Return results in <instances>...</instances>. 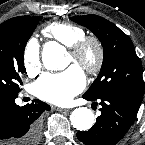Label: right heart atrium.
Instances as JSON below:
<instances>
[{
    "instance_id": "d8ad5b80",
    "label": "right heart atrium",
    "mask_w": 145,
    "mask_h": 145,
    "mask_svg": "<svg viewBox=\"0 0 145 145\" xmlns=\"http://www.w3.org/2000/svg\"><path fill=\"white\" fill-rule=\"evenodd\" d=\"M23 62L29 74L34 75L39 72L41 67L40 46L35 38H31L25 45Z\"/></svg>"
}]
</instances>
